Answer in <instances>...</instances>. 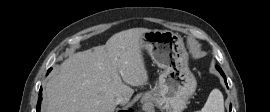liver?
Returning a JSON list of instances; mask_svg holds the SVG:
<instances>
[{"mask_svg": "<svg viewBox=\"0 0 270 112\" xmlns=\"http://www.w3.org/2000/svg\"><path fill=\"white\" fill-rule=\"evenodd\" d=\"M148 30H124L105 45L70 55L46 83L43 111L114 112L116 96L128 102L134 93L130 86L148 81L140 47Z\"/></svg>", "mask_w": 270, "mask_h": 112, "instance_id": "6515ba94", "label": "liver"}]
</instances>
